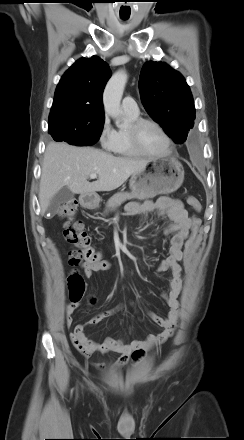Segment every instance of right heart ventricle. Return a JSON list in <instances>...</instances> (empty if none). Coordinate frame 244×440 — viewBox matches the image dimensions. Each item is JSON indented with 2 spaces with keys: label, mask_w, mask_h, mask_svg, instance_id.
<instances>
[{
  "label": "right heart ventricle",
  "mask_w": 244,
  "mask_h": 440,
  "mask_svg": "<svg viewBox=\"0 0 244 440\" xmlns=\"http://www.w3.org/2000/svg\"><path fill=\"white\" fill-rule=\"evenodd\" d=\"M126 115L131 121L137 119L139 116L138 114L131 115L128 113H126ZM110 151L115 155L125 156V157L139 155L131 146L129 139H128V136H127L126 129H118L115 131V139H114V143H113Z\"/></svg>",
  "instance_id": "e07e8e85"
}]
</instances>
